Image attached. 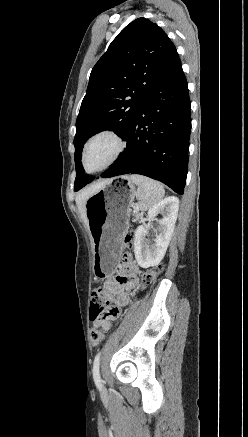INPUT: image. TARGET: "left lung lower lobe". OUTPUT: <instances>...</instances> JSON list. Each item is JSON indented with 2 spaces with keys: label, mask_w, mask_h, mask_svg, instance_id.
<instances>
[{
  "label": "left lung lower lobe",
  "mask_w": 248,
  "mask_h": 437,
  "mask_svg": "<svg viewBox=\"0 0 248 437\" xmlns=\"http://www.w3.org/2000/svg\"><path fill=\"white\" fill-rule=\"evenodd\" d=\"M190 130L187 81L177 58L144 99L124 138L125 152L100 177L141 174L183 194Z\"/></svg>",
  "instance_id": "left-lung-lower-lobe-1"
}]
</instances>
